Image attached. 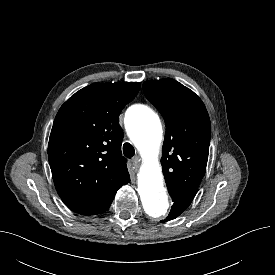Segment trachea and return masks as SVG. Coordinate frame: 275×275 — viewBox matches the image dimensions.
<instances>
[{
  "label": "trachea",
  "instance_id": "trachea-1",
  "mask_svg": "<svg viewBox=\"0 0 275 275\" xmlns=\"http://www.w3.org/2000/svg\"><path fill=\"white\" fill-rule=\"evenodd\" d=\"M123 153L127 158H131L135 154V149L130 143H124Z\"/></svg>",
  "mask_w": 275,
  "mask_h": 275
}]
</instances>
